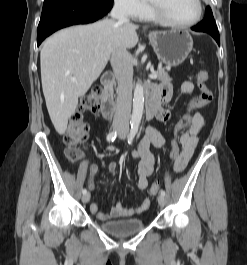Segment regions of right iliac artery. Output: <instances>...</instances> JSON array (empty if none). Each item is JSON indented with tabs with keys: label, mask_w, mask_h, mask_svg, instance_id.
<instances>
[{
	"label": "right iliac artery",
	"mask_w": 247,
	"mask_h": 265,
	"mask_svg": "<svg viewBox=\"0 0 247 265\" xmlns=\"http://www.w3.org/2000/svg\"><path fill=\"white\" fill-rule=\"evenodd\" d=\"M117 135H118V132H117V131H112V132H110V133L107 135V141H108V142H113V141L116 139ZM82 193H83V194H86V193H87V190H86V189H83V190H82Z\"/></svg>",
	"instance_id": "right-iliac-artery-1"
}]
</instances>
